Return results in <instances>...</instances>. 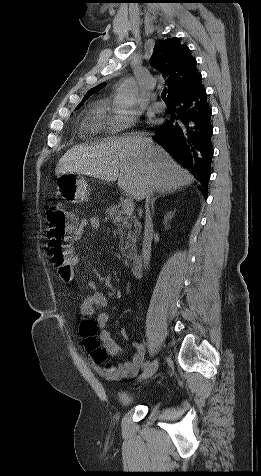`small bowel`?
I'll return each mask as SVG.
<instances>
[{
	"label": "small bowel",
	"mask_w": 261,
	"mask_h": 476,
	"mask_svg": "<svg viewBox=\"0 0 261 476\" xmlns=\"http://www.w3.org/2000/svg\"><path fill=\"white\" fill-rule=\"evenodd\" d=\"M100 219L97 217H85L78 226L75 233L76 239L81 238L88 228L98 230L100 228ZM70 266L74 271L80 263V257L73 255L70 258ZM90 289V294L84 296L80 303V313L85 319H91L95 316L94 321L96 330L98 331L99 340L103 348L114 356L123 355V349L115 342L107 330V324L109 321V315L103 309L108 305L107 296L97 289L94 282L89 281L87 283ZM130 288L126 287V293L129 294ZM120 335L124 339H128L129 335L126 329L120 330ZM135 353L131 359L124 361L119 366H104L102 363L97 362L93 355L90 353V360L93 367L98 373L110 380H118L123 377H129L135 375L141 367L144 365L145 347L142 343L133 342Z\"/></svg>",
	"instance_id": "small-bowel-1"
}]
</instances>
